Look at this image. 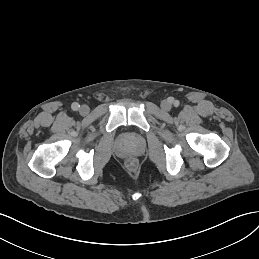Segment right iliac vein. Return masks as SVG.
<instances>
[{
    "mask_svg": "<svg viewBox=\"0 0 259 259\" xmlns=\"http://www.w3.org/2000/svg\"><path fill=\"white\" fill-rule=\"evenodd\" d=\"M90 111V108L87 105H82L79 109L81 115H87Z\"/></svg>",
    "mask_w": 259,
    "mask_h": 259,
    "instance_id": "1",
    "label": "right iliac vein"
}]
</instances>
